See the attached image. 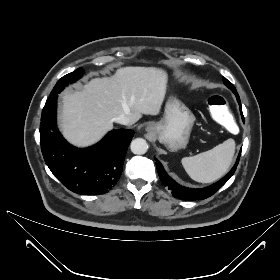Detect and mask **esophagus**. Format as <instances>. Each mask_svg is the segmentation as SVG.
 I'll use <instances>...</instances> for the list:
<instances>
[{"instance_id": "esophagus-1", "label": "esophagus", "mask_w": 280, "mask_h": 280, "mask_svg": "<svg viewBox=\"0 0 280 280\" xmlns=\"http://www.w3.org/2000/svg\"><path fill=\"white\" fill-rule=\"evenodd\" d=\"M147 130L148 131H152L153 129H152V127H148Z\"/></svg>"}]
</instances>
